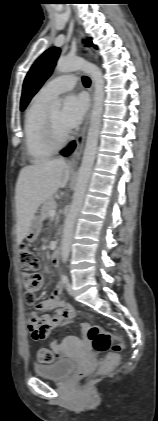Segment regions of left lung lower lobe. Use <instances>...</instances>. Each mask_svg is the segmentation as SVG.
Listing matches in <instances>:
<instances>
[{
	"label": "left lung lower lobe",
	"instance_id": "0a47b994",
	"mask_svg": "<svg viewBox=\"0 0 158 421\" xmlns=\"http://www.w3.org/2000/svg\"><path fill=\"white\" fill-rule=\"evenodd\" d=\"M74 148H75V143H73L68 149L62 151L61 154L65 156L69 155L73 151Z\"/></svg>",
	"mask_w": 158,
	"mask_h": 421
}]
</instances>
